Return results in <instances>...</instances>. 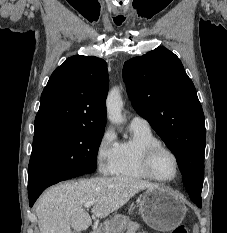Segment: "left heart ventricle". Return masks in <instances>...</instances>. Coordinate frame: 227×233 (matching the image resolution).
I'll use <instances>...</instances> for the list:
<instances>
[{
	"instance_id": "left-heart-ventricle-1",
	"label": "left heart ventricle",
	"mask_w": 227,
	"mask_h": 233,
	"mask_svg": "<svg viewBox=\"0 0 227 233\" xmlns=\"http://www.w3.org/2000/svg\"><path fill=\"white\" fill-rule=\"evenodd\" d=\"M155 173L164 179H170L175 175V162L172 156L165 152H159L153 162Z\"/></svg>"
}]
</instances>
